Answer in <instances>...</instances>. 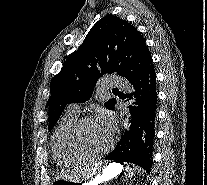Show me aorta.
Returning a JSON list of instances; mask_svg holds the SVG:
<instances>
[{
    "mask_svg": "<svg viewBox=\"0 0 207 185\" xmlns=\"http://www.w3.org/2000/svg\"><path fill=\"white\" fill-rule=\"evenodd\" d=\"M127 127H130V121H127Z\"/></svg>",
    "mask_w": 207,
    "mask_h": 185,
    "instance_id": "aorta-1",
    "label": "aorta"
}]
</instances>
